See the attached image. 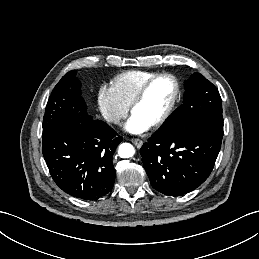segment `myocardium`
Returning a JSON list of instances; mask_svg holds the SVG:
<instances>
[{"label": "myocardium", "instance_id": "f54148a6", "mask_svg": "<svg viewBox=\"0 0 259 259\" xmlns=\"http://www.w3.org/2000/svg\"><path fill=\"white\" fill-rule=\"evenodd\" d=\"M161 78H168L172 81L173 86H174V93H173L172 99H171L168 107L164 111V113L160 116L159 119H157L154 123H152L150 125L152 128H156V127H159L162 124H164L166 122V120L170 117L171 113L173 112L174 107H175L178 97H179V93H180V86H179V82H178L177 78L170 73L155 74L141 86V88L136 93L135 97L133 98V100L130 104V111L133 112L136 105L139 104L142 101V99L145 97L149 87L156 80L161 79Z\"/></svg>", "mask_w": 259, "mask_h": 259}]
</instances>
